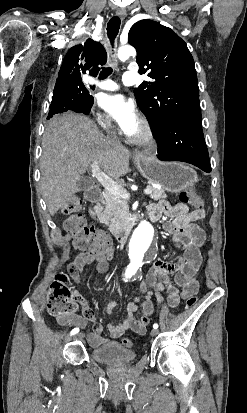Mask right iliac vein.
I'll return each mask as SVG.
<instances>
[{
    "mask_svg": "<svg viewBox=\"0 0 247 413\" xmlns=\"http://www.w3.org/2000/svg\"><path fill=\"white\" fill-rule=\"evenodd\" d=\"M82 337H83V334H77L75 337H74V340H78V339H82Z\"/></svg>",
    "mask_w": 247,
    "mask_h": 413,
    "instance_id": "obj_1",
    "label": "right iliac vein"
}]
</instances>
